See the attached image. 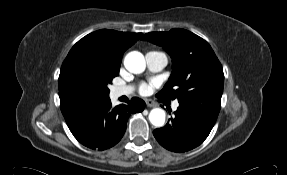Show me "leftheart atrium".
<instances>
[{
  "label": "left heart atrium",
  "mask_w": 287,
  "mask_h": 175,
  "mask_svg": "<svg viewBox=\"0 0 287 175\" xmlns=\"http://www.w3.org/2000/svg\"><path fill=\"white\" fill-rule=\"evenodd\" d=\"M151 87H152V85L147 84V83H143V84L140 86V93H141V94H144V95L150 93Z\"/></svg>",
  "instance_id": "obj_1"
}]
</instances>
